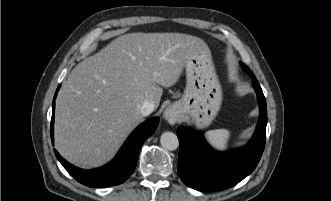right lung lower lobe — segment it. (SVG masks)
Returning <instances> with one entry per match:
<instances>
[{"mask_svg": "<svg viewBox=\"0 0 331 201\" xmlns=\"http://www.w3.org/2000/svg\"><path fill=\"white\" fill-rule=\"evenodd\" d=\"M58 87L57 91L59 90ZM55 93L54 99L56 98ZM53 113L51 119V139L53 142V124L55 102L52 104ZM159 123L157 117L149 119L141 124L126 140L117 156L107 165L95 170H82L68 163L54 150L63 167L80 183L89 187H108L119 185L126 181L133 173L138 160L140 149L144 141L151 136Z\"/></svg>", "mask_w": 331, "mask_h": 201, "instance_id": "right-lung-lower-lobe-1", "label": "right lung lower lobe"}]
</instances>
